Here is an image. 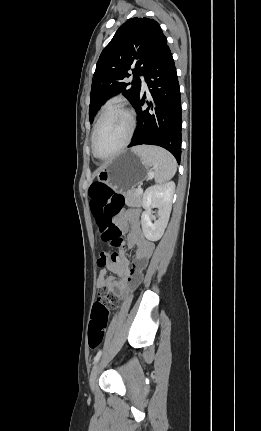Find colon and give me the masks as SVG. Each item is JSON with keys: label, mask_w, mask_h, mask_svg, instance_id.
I'll use <instances>...</instances> for the list:
<instances>
[{"label": "colon", "mask_w": 261, "mask_h": 431, "mask_svg": "<svg viewBox=\"0 0 261 431\" xmlns=\"http://www.w3.org/2000/svg\"><path fill=\"white\" fill-rule=\"evenodd\" d=\"M88 195L91 212L99 228L101 239L113 247L120 246L122 231L114 217L123 207V196L99 181L90 185ZM119 258L120 255L117 252L111 254L102 252L98 264L105 265L107 262H117ZM115 301V297L106 290H102L98 294L92 308L88 330V342L91 349L97 348L103 341L108 325L109 308L114 305Z\"/></svg>", "instance_id": "5ec220e1"}]
</instances>
